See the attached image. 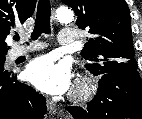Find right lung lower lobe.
Instances as JSON below:
<instances>
[{
    "label": "right lung lower lobe",
    "instance_id": "obj_1",
    "mask_svg": "<svg viewBox=\"0 0 142 119\" xmlns=\"http://www.w3.org/2000/svg\"><path fill=\"white\" fill-rule=\"evenodd\" d=\"M45 97L17 81L13 72L0 71V119H43Z\"/></svg>",
    "mask_w": 142,
    "mask_h": 119
}]
</instances>
